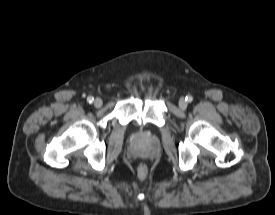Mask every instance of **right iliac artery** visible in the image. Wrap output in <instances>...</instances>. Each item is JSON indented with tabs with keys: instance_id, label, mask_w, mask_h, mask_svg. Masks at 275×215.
I'll return each mask as SVG.
<instances>
[{
	"instance_id": "1",
	"label": "right iliac artery",
	"mask_w": 275,
	"mask_h": 215,
	"mask_svg": "<svg viewBox=\"0 0 275 215\" xmlns=\"http://www.w3.org/2000/svg\"><path fill=\"white\" fill-rule=\"evenodd\" d=\"M93 100H94V98L92 96H89L87 98V102L90 103V104L93 102Z\"/></svg>"
}]
</instances>
